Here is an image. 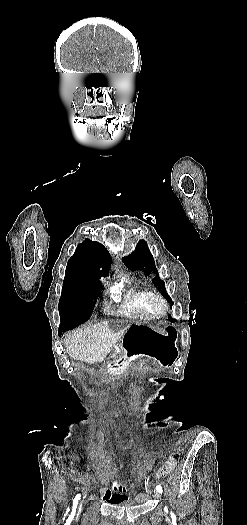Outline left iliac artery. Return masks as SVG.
Wrapping results in <instances>:
<instances>
[{
	"label": "left iliac artery",
	"instance_id": "44dca946",
	"mask_svg": "<svg viewBox=\"0 0 247 525\" xmlns=\"http://www.w3.org/2000/svg\"><path fill=\"white\" fill-rule=\"evenodd\" d=\"M156 490H157L159 493H162V491H163L161 485H157Z\"/></svg>",
	"mask_w": 247,
	"mask_h": 525
}]
</instances>
